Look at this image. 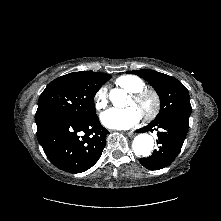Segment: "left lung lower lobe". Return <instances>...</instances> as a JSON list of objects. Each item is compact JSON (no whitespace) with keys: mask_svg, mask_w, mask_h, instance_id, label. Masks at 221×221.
Returning a JSON list of instances; mask_svg holds the SVG:
<instances>
[{"mask_svg":"<svg viewBox=\"0 0 221 221\" xmlns=\"http://www.w3.org/2000/svg\"><path fill=\"white\" fill-rule=\"evenodd\" d=\"M189 128V116L175 115L159 122H151L137 130V133L157 130L159 147L151 156L141 158L140 163L147 169L159 170L167 167L178 156Z\"/></svg>","mask_w":221,"mask_h":221,"instance_id":"obj_1","label":"left lung lower lobe"}]
</instances>
